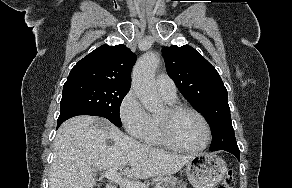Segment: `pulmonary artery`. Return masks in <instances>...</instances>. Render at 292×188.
I'll return each instance as SVG.
<instances>
[{"label":"pulmonary artery","instance_id":"e3ab8cb5","mask_svg":"<svg viewBox=\"0 0 292 188\" xmlns=\"http://www.w3.org/2000/svg\"><path fill=\"white\" fill-rule=\"evenodd\" d=\"M156 86L160 95L166 99L176 98V86L174 81L166 74H160L156 78Z\"/></svg>","mask_w":292,"mask_h":188}]
</instances>
